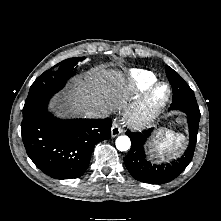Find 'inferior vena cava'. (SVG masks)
<instances>
[{
	"label": "inferior vena cava",
	"mask_w": 221,
	"mask_h": 221,
	"mask_svg": "<svg viewBox=\"0 0 221 221\" xmlns=\"http://www.w3.org/2000/svg\"><path fill=\"white\" fill-rule=\"evenodd\" d=\"M88 116H100L101 113L99 111L96 110H91L87 113Z\"/></svg>",
	"instance_id": "1"
}]
</instances>
